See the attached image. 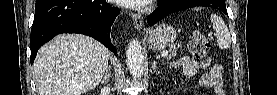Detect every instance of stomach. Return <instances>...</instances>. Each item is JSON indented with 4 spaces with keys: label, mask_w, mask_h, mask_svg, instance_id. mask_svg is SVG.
Masks as SVG:
<instances>
[{
    "label": "stomach",
    "mask_w": 277,
    "mask_h": 95,
    "mask_svg": "<svg viewBox=\"0 0 277 95\" xmlns=\"http://www.w3.org/2000/svg\"><path fill=\"white\" fill-rule=\"evenodd\" d=\"M176 30L168 24H159L147 32L146 41L151 50H162L176 39Z\"/></svg>",
    "instance_id": "stomach-1"
}]
</instances>
